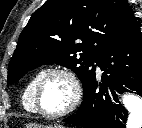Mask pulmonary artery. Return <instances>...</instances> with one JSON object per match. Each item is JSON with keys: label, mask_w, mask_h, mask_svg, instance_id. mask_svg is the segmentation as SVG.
Here are the masks:
<instances>
[{"label": "pulmonary artery", "mask_w": 142, "mask_h": 128, "mask_svg": "<svg viewBox=\"0 0 142 128\" xmlns=\"http://www.w3.org/2000/svg\"><path fill=\"white\" fill-rule=\"evenodd\" d=\"M96 70H97V73H99V74L101 73V70L98 66H96Z\"/></svg>", "instance_id": "pulmonary-artery-1"}]
</instances>
